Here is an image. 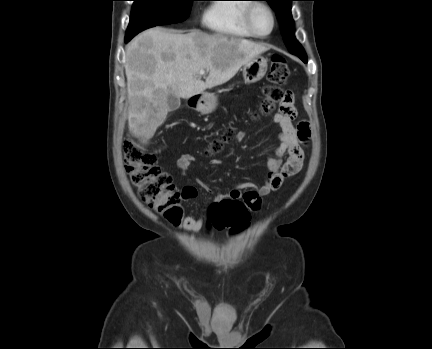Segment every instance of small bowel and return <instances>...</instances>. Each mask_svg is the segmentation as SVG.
Returning a JSON list of instances; mask_svg holds the SVG:
<instances>
[{"mask_svg":"<svg viewBox=\"0 0 432 349\" xmlns=\"http://www.w3.org/2000/svg\"><path fill=\"white\" fill-rule=\"evenodd\" d=\"M296 117V110L292 103L282 104L281 109L276 112L272 121L278 126L279 146L274 155L267 159V180L261 186L252 182H245L234 186L226 195L218 194L215 203H220L224 199L243 201L250 211H258L261 208L262 198L271 192L278 190L284 180L300 172L304 161L303 145L310 139L309 124L301 121L297 125L293 124ZM245 134L239 133L235 140L240 142ZM286 156V159H283ZM195 161L191 154H182L176 161L177 168L184 172ZM212 165L220 164L221 161L213 159ZM201 187L210 192V188L201 184ZM197 188L191 185L185 186L182 190V198L191 201L197 197ZM203 225V219L197 215H190L183 219L182 227L190 233H197Z\"/></svg>","mask_w":432,"mask_h":349,"instance_id":"c3829d8e","label":"small bowel"}]
</instances>
